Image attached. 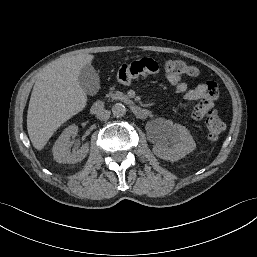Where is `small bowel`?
<instances>
[{
  "mask_svg": "<svg viewBox=\"0 0 257 257\" xmlns=\"http://www.w3.org/2000/svg\"><path fill=\"white\" fill-rule=\"evenodd\" d=\"M159 73L158 64L151 58H139L126 61L118 66L115 73L116 82L122 87H130L136 83H144L154 79ZM166 84L174 90V94L185 100L198 101L192 109V118L203 119L213 108L218 98V89L214 82L206 81L189 89L187 84L176 74H171L166 79Z\"/></svg>",
  "mask_w": 257,
  "mask_h": 257,
  "instance_id": "1",
  "label": "small bowel"
}]
</instances>
